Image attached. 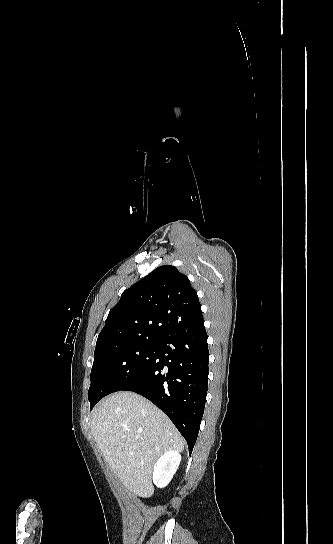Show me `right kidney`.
Wrapping results in <instances>:
<instances>
[{
	"label": "right kidney",
	"instance_id": "ca27d5eb",
	"mask_svg": "<svg viewBox=\"0 0 333 544\" xmlns=\"http://www.w3.org/2000/svg\"><path fill=\"white\" fill-rule=\"evenodd\" d=\"M181 462V455L178 451L165 452L155 463L153 471V482L158 488L166 487L172 480Z\"/></svg>",
	"mask_w": 333,
	"mask_h": 544
}]
</instances>
